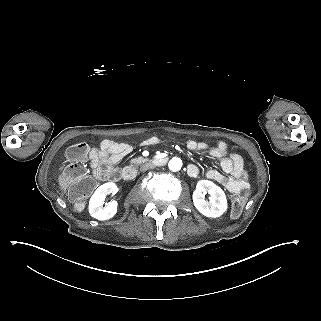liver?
<instances>
[{"instance_id": "1", "label": "liver", "mask_w": 321, "mask_h": 321, "mask_svg": "<svg viewBox=\"0 0 321 321\" xmlns=\"http://www.w3.org/2000/svg\"><path fill=\"white\" fill-rule=\"evenodd\" d=\"M58 182L62 190L68 189L71 185V179L66 175V173H63L58 177Z\"/></svg>"}]
</instances>
